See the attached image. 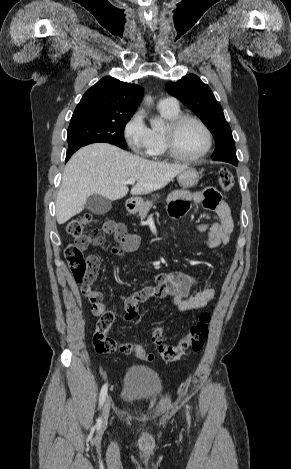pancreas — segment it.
Segmentation results:
<instances>
[{
  "mask_svg": "<svg viewBox=\"0 0 291 469\" xmlns=\"http://www.w3.org/2000/svg\"><path fill=\"white\" fill-rule=\"evenodd\" d=\"M153 206V202L152 201H146L145 203H143V205L139 208V216L141 218V220L145 219V217L147 216L150 208Z\"/></svg>",
  "mask_w": 291,
  "mask_h": 469,
  "instance_id": "obj_1",
  "label": "pancreas"
}]
</instances>
